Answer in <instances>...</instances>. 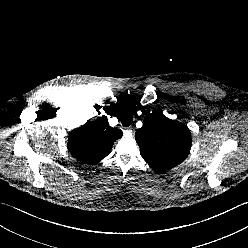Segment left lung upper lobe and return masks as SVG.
<instances>
[{"label": "left lung upper lobe", "mask_w": 248, "mask_h": 248, "mask_svg": "<svg viewBox=\"0 0 248 248\" xmlns=\"http://www.w3.org/2000/svg\"><path fill=\"white\" fill-rule=\"evenodd\" d=\"M135 138L142 157L156 172L169 170L181 163L191 148V134L187 126L159 111L145 117Z\"/></svg>", "instance_id": "left-lung-upper-lobe-1"}]
</instances>
